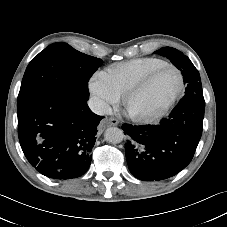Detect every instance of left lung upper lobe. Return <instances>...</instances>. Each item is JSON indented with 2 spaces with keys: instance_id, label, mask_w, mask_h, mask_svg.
I'll list each match as a JSON object with an SVG mask.
<instances>
[{
  "instance_id": "1",
  "label": "left lung upper lobe",
  "mask_w": 227,
  "mask_h": 227,
  "mask_svg": "<svg viewBox=\"0 0 227 227\" xmlns=\"http://www.w3.org/2000/svg\"><path fill=\"white\" fill-rule=\"evenodd\" d=\"M155 53L168 58L183 75L184 84L186 85L185 96L178 106L188 104L205 106L200 75L190 59L181 51L172 47H163Z\"/></svg>"
}]
</instances>
